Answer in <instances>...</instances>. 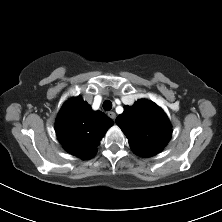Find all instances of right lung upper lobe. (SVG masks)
I'll return each mask as SVG.
<instances>
[{"label":"right lung upper lobe","mask_w":222,"mask_h":222,"mask_svg":"<svg viewBox=\"0 0 222 222\" xmlns=\"http://www.w3.org/2000/svg\"><path fill=\"white\" fill-rule=\"evenodd\" d=\"M113 121L101 111H93L81 97L69 99L56 119L57 137L65 150L81 159L92 158Z\"/></svg>","instance_id":"cb5924a9"}]
</instances>
